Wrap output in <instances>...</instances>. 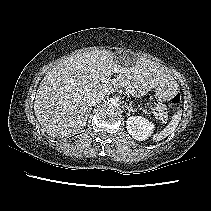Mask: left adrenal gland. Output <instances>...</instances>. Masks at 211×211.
I'll use <instances>...</instances> for the list:
<instances>
[{
    "label": "left adrenal gland",
    "mask_w": 211,
    "mask_h": 211,
    "mask_svg": "<svg viewBox=\"0 0 211 211\" xmlns=\"http://www.w3.org/2000/svg\"><path fill=\"white\" fill-rule=\"evenodd\" d=\"M126 109L128 110L127 115L129 116L131 112H135L136 110L132 107L131 104L126 105Z\"/></svg>",
    "instance_id": "a2214340"
}]
</instances>
